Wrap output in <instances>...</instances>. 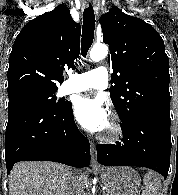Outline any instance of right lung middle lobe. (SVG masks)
Here are the masks:
<instances>
[{
  "mask_svg": "<svg viewBox=\"0 0 178 195\" xmlns=\"http://www.w3.org/2000/svg\"><path fill=\"white\" fill-rule=\"evenodd\" d=\"M57 90H39L31 89L19 94L8 96V109L14 106L26 105L39 108L59 109L65 107L68 103L56 102L55 92Z\"/></svg>",
  "mask_w": 178,
  "mask_h": 195,
  "instance_id": "obj_1",
  "label": "right lung middle lobe"
}]
</instances>
